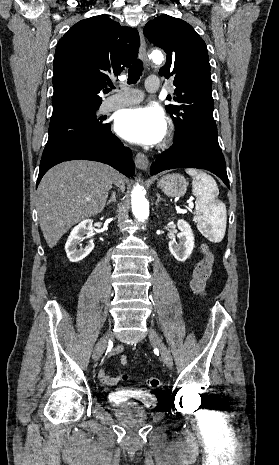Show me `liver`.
<instances>
[{
    "mask_svg": "<svg viewBox=\"0 0 279 465\" xmlns=\"http://www.w3.org/2000/svg\"><path fill=\"white\" fill-rule=\"evenodd\" d=\"M112 182L125 190L121 174L108 165L85 160L60 163L43 176L37 190V211L50 248L74 224L103 210Z\"/></svg>",
    "mask_w": 279,
    "mask_h": 465,
    "instance_id": "liver-1",
    "label": "liver"
}]
</instances>
